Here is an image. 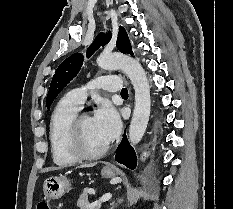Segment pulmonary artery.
<instances>
[{"label": "pulmonary artery", "mask_w": 233, "mask_h": 209, "mask_svg": "<svg viewBox=\"0 0 233 209\" xmlns=\"http://www.w3.org/2000/svg\"><path fill=\"white\" fill-rule=\"evenodd\" d=\"M91 87L101 88L110 92H117L121 90V79L115 75H103L96 78L91 83ZM86 94V87L76 88L67 95V99L73 105L80 108L86 98Z\"/></svg>", "instance_id": "e3ab8cb5"}]
</instances>
